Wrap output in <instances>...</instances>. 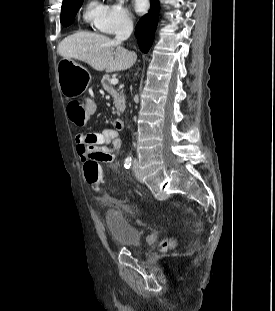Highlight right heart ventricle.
Returning a JSON list of instances; mask_svg holds the SVG:
<instances>
[{"mask_svg": "<svg viewBox=\"0 0 275 311\" xmlns=\"http://www.w3.org/2000/svg\"><path fill=\"white\" fill-rule=\"evenodd\" d=\"M105 7L99 0H88L83 10V21L91 27H96L98 20L104 13Z\"/></svg>", "mask_w": 275, "mask_h": 311, "instance_id": "right-heart-ventricle-1", "label": "right heart ventricle"}]
</instances>
